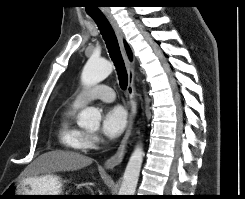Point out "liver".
<instances>
[{
  "label": "liver",
  "mask_w": 245,
  "mask_h": 199,
  "mask_svg": "<svg viewBox=\"0 0 245 199\" xmlns=\"http://www.w3.org/2000/svg\"><path fill=\"white\" fill-rule=\"evenodd\" d=\"M92 161V158L76 152L54 150L39 156L30 166L27 176L33 178L43 173L75 171L90 165Z\"/></svg>",
  "instance_id": "liver-1"
}]
</instances>
